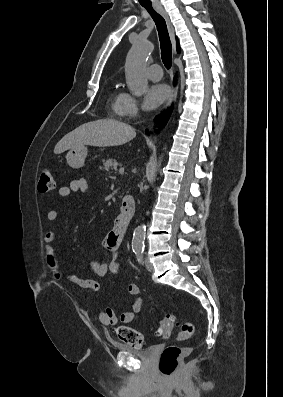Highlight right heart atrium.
I'll list each match as a JSON object with an SVG mask.
<instances>
[{
  "label": "right heart atrium",
  "instance_id": "obj_1",
  "mask_svg": "<svg viewBox=\"0 0 283 397\" xmlns=\"http://www.w3.org/2000/svg\"><path fill=\"white\" fill-rule=\"evenodd\" d=\"M141 113V106L138 100L130 94L123 93L120 100L117 114L126 119H134Z\"/></svg>",
  "mask_w": 283,
  "mask_h": 397
}]
</instances>
